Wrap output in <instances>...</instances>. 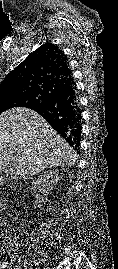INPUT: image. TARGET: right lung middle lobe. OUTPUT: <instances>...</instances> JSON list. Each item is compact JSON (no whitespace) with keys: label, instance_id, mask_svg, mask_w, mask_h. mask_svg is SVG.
Segmentation results:
<instances>
[{"label":"right lung middle lobe","instance_id":"1","mask_svg":"<svg viewBox=\"0 0 118 269\" xmlns=\"http://www.w3.org/2000/svg\"><path fill=\"white\" fill-rule=\"evenodd\" d=\"M38 104L37 99L29 96H4L0 98V113L13 107H31Z\"/></svg>","mask_w":118,"mask_h":269}]
</instances>
